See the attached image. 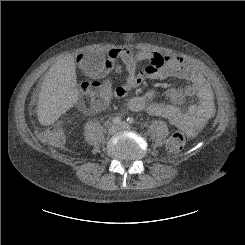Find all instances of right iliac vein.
Wrapping results in <instances>:
<instances>
[{
  "label": "right iliac vein",
  "mask_w": 245,
  "mask_h": 245,
  "mask_svg": "<svg viewBox=\"0 0 245 245\" xmlns=\"http://www.w3.org/2000/svg\"><path fill=\"white\" fill-rule=\"evenodd\" d=\"M118 131V127L116 125H112L109 129H108V133L113 135Z\"/></svg>",
  "instance_id": "right-iliac-vein-1"
}]
</instances>
